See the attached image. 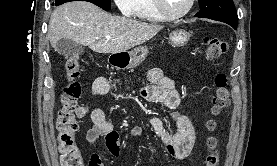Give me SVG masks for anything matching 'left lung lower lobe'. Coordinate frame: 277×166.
<instances>
[{"label": "left lung lower lobe", "mask_w": 277, "mask_h": 166, "mask_svg": "<svg viewBox=\"0 0 277 166\" xmlns=\"http://www.w3.org/2000/svg\"><path fill=\"white\" fill-rule=\"evenodd\" d=\"M234 29H236V26H232Z\"/></svg>", "instance_id": "1"}]
</instances>
